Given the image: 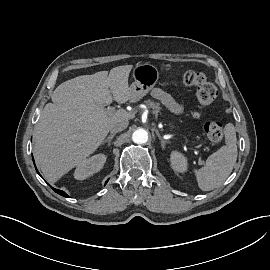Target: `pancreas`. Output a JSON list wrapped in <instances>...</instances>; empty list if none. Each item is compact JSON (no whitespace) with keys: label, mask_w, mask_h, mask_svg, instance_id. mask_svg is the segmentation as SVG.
<instances>
[{"label":"pancreas","mask_w":270,"mask_h":270,"mask_svg":"<svg viewBox=\"0 0 270 270\" xmlns=\"http://www.w3.org/2000/svg\"><path fill=\"white\" fill-rule=\"evenodd\" d=\"M145 104L148 106V108L152 109V111L155 115H157L158 112L161 110L160 104L157 102H154L150 99L146 100Z\"/></svg>","instance_id":"1"}]
</instances>
